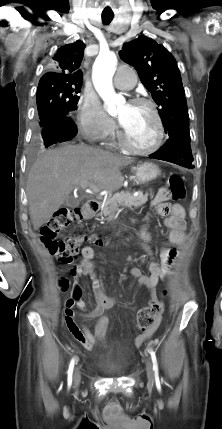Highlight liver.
<instances>
[{"label": "liver", "mask_w": 222, "mask_h": 429, "mask_svg": "<svg viewBox=\"0 0 222 429\" xmlns=\"http://www.w3.org/2000/svg\"><path fill=\"white\" fill-rule=\"evenodd\" d=\"M132 162L130 158L85 145L65 144L42 152L31 167L26 187L34 229L44 225L74 186L83 181H91L101 190H118L123 183L120 169Z\"/></svg>", "instance_id": "6515ba94"}]
</instances>
